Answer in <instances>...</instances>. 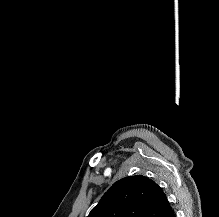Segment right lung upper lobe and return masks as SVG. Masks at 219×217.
I'll list each match as a JSON object with an SVG mask.
<instances>
[{
  "mask_svg": "<svg viewBox=\"0 0 219 217\" xmlns=\"http://www.w3.org/2000/svg\"><path fill=\"white\" fill-rule=\"evenodd\" d=\"M172 212L160 186L136 175L114 183L88 217H169Z\"/></svg>",
  "mask_w": 219,
  "mask_h": 217,
  "instance_id": "right-lung-upper-lobe-1",
  "label": "right lung upper lobe"
}]
</instances>
